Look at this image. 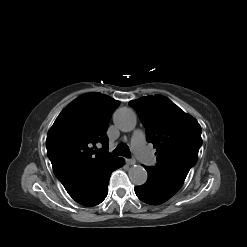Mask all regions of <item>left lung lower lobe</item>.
<instances>
[{
    "mask_svg": "<svg viewBox=\"0 0 247 247\" xmlns=\"http://www.w3.org/2000/svg\"><path fill=\"white\" fill-rule=\"evenodd\" d=\"M144 168L148 172V180L144 185L135 187V193L141 201L158 205L166 202L179 190L154 167Z\"/></svg>",
    "mask_w": 247,
    "mask_h": 247,
    "instance_id": "left-lung-lower-lobe-1",
    "label": "left lung lower lobe"
}]
</instances>
